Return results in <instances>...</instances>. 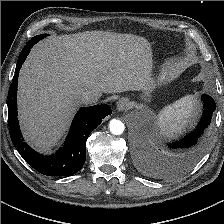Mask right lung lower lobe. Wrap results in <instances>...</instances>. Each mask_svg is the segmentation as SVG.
<instances>
[{
    "instance_id": "98d812e1",
    "label": "right lung lower lobe",
    "mask_w": 224,
    "mask_h": 224,
    "mask_svg": "<svg viewBox=\"0 0 224 224\" xmlns=\"http://www.w3.org/2000/svg\"><path fill=\"white\" fill-rule=\"evenodd\" d=\"M31 40L19 55L15 75L8 93V121L11 140L23 159L35 170L47 176H70L78 172L86 159V141L89 134L111 114L108 105L80 108L72 121L65 144L55 154L42 155L29 147L22 137L17 118V80L19 71L30 49Z\"/></svg>"
}]
</instances>
